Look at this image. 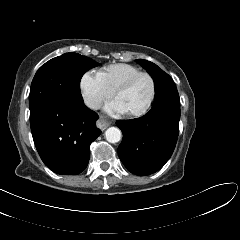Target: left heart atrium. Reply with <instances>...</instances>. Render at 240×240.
I'll use <instances>...</instances> for the list:
<instances>
[{"mask_svg": "<svg viewBox=\"0 0 240 240\" xmlns=\"http://www.w3.org/2000/svg\"><path fill=\"white\" fill-rule=\"evenodd\" d=\"M105 110L108 113L111 114H121V113H125L128 112L127 107L125 106V104L123 103L122 100H120L119 98L114 99L113 101H111L106 107Z\"/></svg>", "mask_w": 240, "mask_h": 240, "instance_id": "left-heart-atrium-1", "label": "left heart atrium"}]
</instances>
